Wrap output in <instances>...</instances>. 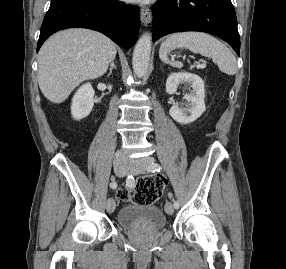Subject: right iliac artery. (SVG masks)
Listing matches in <instances>:
<instances>
[{
    "instance_id": "82829eb1",
    "label": "right iliac artery",
    "mask_w": 286,
    "mask_h": 269,
    "mask_svg": "<svg viewBox=\"0 0 286 269\" xmlns=\"http://www.w3.org/2000/svg\"><path fill=\"white\" fill-rule=\"evenodd\" d=\"M126 185L129 186V187H132L134 185V177L133 175H128L127 178H126ZM110 187L112 189H115L117 187V183L116 182H111L110 183Z\"/></svg>"
}]
</instances>
